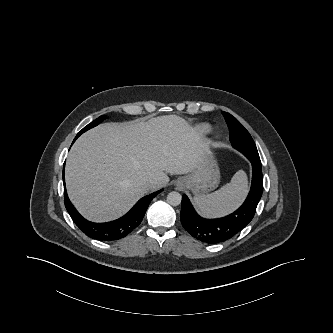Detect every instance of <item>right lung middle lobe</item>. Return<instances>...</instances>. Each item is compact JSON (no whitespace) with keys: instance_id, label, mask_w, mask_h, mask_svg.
Instances as JSON below:
<instances>
[{"instance_id":"dd1d6c3e","label":"right lung middle lobe","mask_w":333,"mask_h":333,"mask_svg":"<svg viewBox=\"0 0 333 333\" xmlns=\"http://www.w3.org/2000/svg\"><path fill=\"white\" fill-rule=\"evenodd\" d=\"M106 118L105 115H101L99 118H97L96 120H94L93 122H91L90 124H88L87 126H85L78 134L76 137H79L82 133H84L85 131L89 130L90 128H93L95 126H97L99 123H101L104 119Z\"/></svg>"}]
</instances>
